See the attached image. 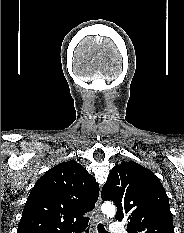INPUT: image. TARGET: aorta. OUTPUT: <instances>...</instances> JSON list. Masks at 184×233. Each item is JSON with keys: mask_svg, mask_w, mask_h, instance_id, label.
<instances>
[{"mask_svg": "<svg viewBox=\"0 0 184 233\" xmlns=\"http://www.w3.org/2000/svg\"><path fill=\"white\" fill-rule=\"evenodd\" d=\"M101 210L103 214H105L107 217H114L115 215V206L111 202H105L103 203Z\"/></svg>", "mask_w": 184, "mask_h": 233, "instance_id": "1", "label": "aorta"}]
</instances>
